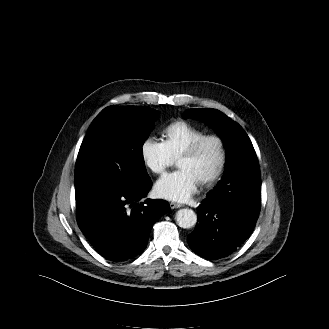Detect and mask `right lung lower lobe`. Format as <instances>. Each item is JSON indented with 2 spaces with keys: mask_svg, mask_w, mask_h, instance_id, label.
Masks as SVG:
<instances>
[{
  "mask_svg": "<svg viewBox=\"0 0 329 329\" xmlns=\"http://www.w3.org/2000/svg\"><path fill=\"white\" fill-rule=\"evenodd\" d=\"M151 185V179L136 190L99 182L76 191L79 228L106 259L125 261L142 253L153 224L169 212L164 200L137 203Z\"/></svg>",
  "mask_w": 329,
  "mask_h": 329,
  "instance_id": "1",
  "label": "right lung lower lobe"
}]
</instances>
